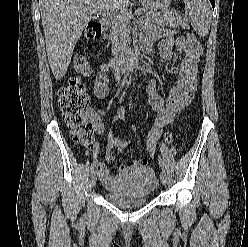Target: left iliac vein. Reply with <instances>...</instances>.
I'll return each instance as SVG.
<instances>
[{"mask_svg":"<svg viewBox=\"0 0 248 247\" xmlns=\"http://www.w3.org/2000/svg\"><path fill=\"white\" fill-rule=\"evenodd\" d=\"M160 179H161V182H162L163 185H166L167 184V182H168V175H167V173H166L165 170H162L161 171Z\"/></svg>","mask_w":248,"mask_h":247,"instance_id":"obj_1","label":"left iliac vein"}]
</instances>
